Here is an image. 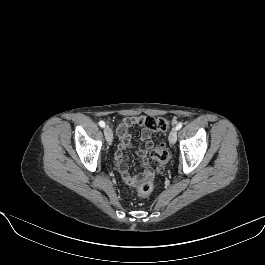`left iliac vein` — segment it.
I'll return each mask as SVG.
<instances>
[{"label": "left iliac vein", "instance_id": "obj_1", "mask_svg": "<svg viewBox=\"0 0 265 265\" xmlns=\"http://www.w3.org/2000/svg\"><path fill=\"white\" fill-rule=\"evenodd\" d=\"M177 140V130L176 129H172L169 133V142L170 144H175Z\"/></svg>", "mask_w": 265, "mask_h": 265}]
</instances>
